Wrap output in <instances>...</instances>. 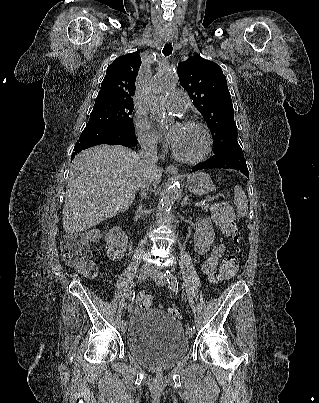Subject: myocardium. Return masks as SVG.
Masks as SVG:
<instances>
[{"mask_svg": "<svg viewBox=\"0 0 319 403\" xmlns=\"http://www.w3.org/2000/svg\"><path fill=\"white\" fill-rule=\"evenodd\" d=\"M183 125L197 127L203 132L204 137H205V148H204V151L199 156L193 157V158L183 157L180 154H178L174 150V148H172L173 157L177 161L186 163V164H197V163L204 161L210 155V153L212 151V147H213V139H212V135H211L209 128L202 122H200L198 120H194V119H185L183 121Z\"/></svg>", "mask_w": 319, "mask_h": 403, "instance_id": "myocardium-1", "label": "myocardium"}]
</instances>
